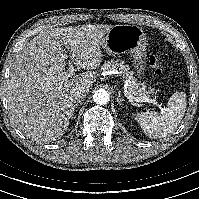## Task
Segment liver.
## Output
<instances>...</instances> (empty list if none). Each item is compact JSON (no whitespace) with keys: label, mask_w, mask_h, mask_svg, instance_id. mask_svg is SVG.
<instances>
[{"label":"liver","mask_w":199,"mask_h":199,"mask_svg":"<svg viewBox=\"0 0 199 199\" xmlns=\"http://www.w3.org/2000/svg\"><path fill=\"white\" fill-rule=\"evenodd\" d=\"M113 25H82L48 29L24 45L10 67L7 101L18 129L26 136L48 142L60 139L69 125L73 103L70 90L96 81L101 63V39ZM63 46L72 62L86 72L65 74ZM90 70V71H89Z\"/></svg>","instance_id":"6515ba94"}]
</instances>
